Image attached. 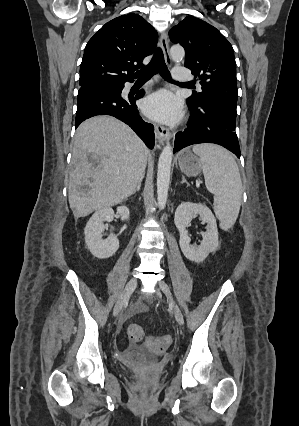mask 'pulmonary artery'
I'll list each match as a JSON object with an SVG mask.
<instances>
[{
    "label": "pulmonary artery",
    "instance_id": "obj_1",
    "mask_svg": "<svg viewBox=\"0 0 299 426\" xmlns=\"http://www.w3.org/2000/svg\"><path fill=\"white\" fill-rule=\"evenodd\" d=\"M172 75L175 80H179V81L189 80V77L186 73V69L183 67H179V66L174 67L172 71Z\"/></svg>",
    "mask_w": 299,
    "mask_h": 426
}]
</instances>
